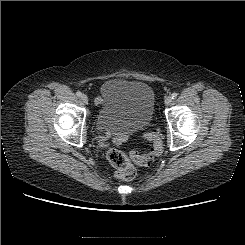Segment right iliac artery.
<instances>
[{
    "label": "right iliac artery",
    "instance_id": "right-iliac-artery-1",
    "mask_svg": "<svg viewBox=\"0 0 245 245\" xmlns=\"http://www.w3.org/2000/svg\"><path fill=\"white\" fill-rule=\"evenodd\" d=\"M76 95H77L78 97H81V96H82V93H81L80 91H77V92H76Z\"/></svg>",
    "mask_w": 245,
    "mask_h": 245
}]
</instances>
